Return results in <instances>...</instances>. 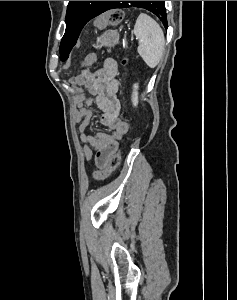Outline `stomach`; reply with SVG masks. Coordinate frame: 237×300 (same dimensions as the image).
Wrapping results in <instances>:
<instances>
[{
  "mask_svg": "<svg viewBox=\"0 0 237 300\" xmlns=\"http://www.w3.org/2000/svg\"><path fill=\"white\" fill-rule=\"evenodd\" d=\"M120 39V35L118 31H107V33H104V35H101V37H97L96 49H101V47H115V45H118Z\"/></svg>",
  "mask_w": 237,
  "mask_h": 300,
  "instance_id": "0dacf381",
  "label": "stomach"
}]
</instances>
